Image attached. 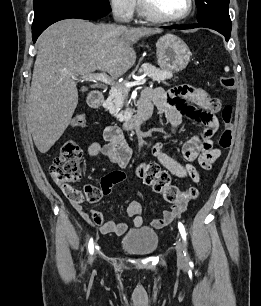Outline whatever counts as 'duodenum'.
Wrapping results in <instances>:
<instances>
[{
  "label": "duodenum",
  "mask_w": 261,
  "mask_h": 306,
  "mask_svg": "<svg viewBox=\"0 0 261 306\" xmlns=\"http://www.w3.org/2000/svg\"><path fill=\"white\" fill-rule=\"evenodd\" d=\"M104 101L102 92H93L88 97V104L92 108L101 106ZM153 107L151 104L141 99L135 113L127 120L125 127L127 129H135L139 127L144 121L148 120L152 115Z\"/></svg>",
  "instance_id": "duodenum-1"
}]
</instances>
